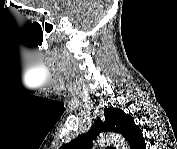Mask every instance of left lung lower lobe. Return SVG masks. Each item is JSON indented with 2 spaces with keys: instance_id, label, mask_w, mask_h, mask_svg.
<instances>
[{
  "instance_id": "0a47b994",
  "label": "left lung lower lobe",
  "mask_w": 177,
  "mask_h": 149,
  "mask_svg": "<svg viewBox=\"0 0 177 149\" xmlns=\"http://www.w3.org/2000/svg\"><path fill=\"white\" fill-rule=\"evenodd\" d=\"M140 148H146V147H145V141H144V140L142 141V144L140 145Z\"/></svg>"
}]
</instances>
